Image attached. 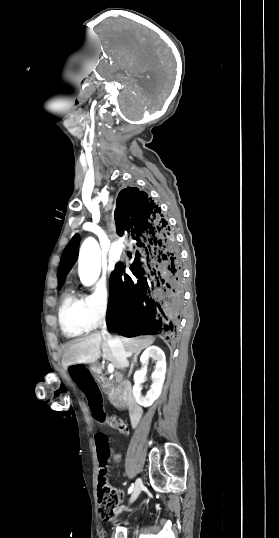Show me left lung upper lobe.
<instances>
[{"label":"left lung upper lobe","instance_id":"5c2ea615","mask_svg":"<svg viewBox=\"0 0 279 538\" xmlns=\"http://www.w3.org/2000/svg\"><path fill=\"white\" fill-rule=\"evenodd\" d=\"M79 241H80L79 235H75L70 241V243L66 246L63 252V255L61 257V262L59 265V270H58L59 289L62 287L69 270L72 268V266L77 260Z\"/></svg>","mask_w":279,"mask_h":538}]
</instances>
